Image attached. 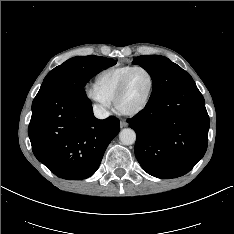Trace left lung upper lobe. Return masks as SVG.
Here are the masks:
<instances>
[{
	"label": "left lung upper lobe",
	"mask_w": 234,
	"mask_h": 234,
	"mask_svg": "<svg viewBox=\"0 0 234 234\" xmlns=\"http://www.w3.org/2000/svg\"><path fill=\"white\" fill-rule=\"evenodd\" d=\"M133 64L143 67L152 78L153 89L148 104L174 87L193 80L185 70L164 56L142 55L135 58Z\"/></svg>",
	"instance_id": "left-lung-upper-lobe-1"
}]
</instances>
